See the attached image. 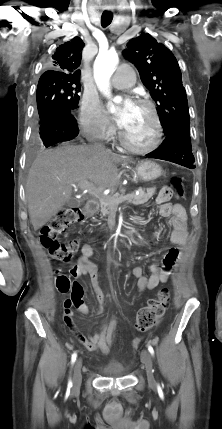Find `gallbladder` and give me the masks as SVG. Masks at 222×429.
Here are the masks:
<instances>
[{
	"instance_id": "1",
	"label": "gallbladder",
	"mask_w": 222,
	"mask_h": 429,
	"mask_svg": "<svg viewBox=\"0 0 222 429\" xmlns=\"http://www.w3.org/2000/svg\"><path fill=\"white\" fill-rule=\"evenodd\" d=\"M80 204H81V200L76 199L74 197L70 198V200L66 203L68 207H76V206H80Z\"/></svg>"
}]
</instances>
